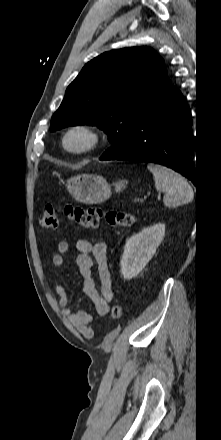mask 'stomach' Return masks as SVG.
<instances>
[{
  "label": "stomach",
  "mask_w": 221,
  "mask_h": 440,
  "mask_svg": "<svg viewBox=\"0 0 221 440\" xmlns=\"http://www.w3.org/2000/svg\"><path fill=\"white\" fill-rule=\"evenodd\" d=\"M126 185V180L113 183L116 192H120ZM111 186L103 176L98 174H80L66 181L70 195L87 204H97L107 200L111 195Z\"/></svg>",
  "instance_id": "obj_1"
}]
</instances>
